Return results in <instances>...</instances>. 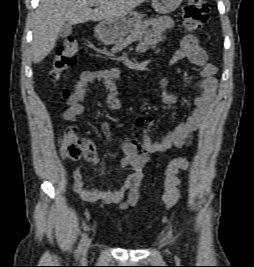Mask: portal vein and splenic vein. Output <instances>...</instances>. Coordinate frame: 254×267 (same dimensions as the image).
Segmentation results:
<instances>
[{"label":"portal vein and splenic vein","instance_id":"18ae733b","mask_svg":"<svg viewBox=\"0 0 254 267\" xmlns=\"http://www.w3.org/2000/svg\"><path fill=\"white\" fill-rule=\"evenodd\" d=\"M94 6H98V3L93 4Z\"/></svg>","mask_w":254,"mask_h":267}]
</instances>
